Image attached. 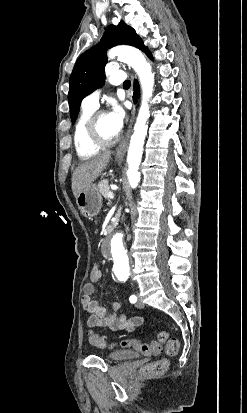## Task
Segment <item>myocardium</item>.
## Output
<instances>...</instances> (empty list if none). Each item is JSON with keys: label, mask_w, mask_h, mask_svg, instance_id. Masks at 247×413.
Segmentation results:
<instances>
[{"label": "myocardium", "mask_w": 247, "mask_h": 413, "mask_svg": "<svg viewBox=\"0 0 247 413\" xmlns=\"http://www.w3.org/2000/svg\"><path fill=\"white\" fill-rule=\"evenodd\" d=\"M101 114V112H96L93 116H91L89 126L87 129V138L93 145L101 149L110 148L117 143L118 138L115 137L114 139L107 140L101 136L99 127L96 126Z\"/></svg>", "instance_id": "1"}]
</instances>
